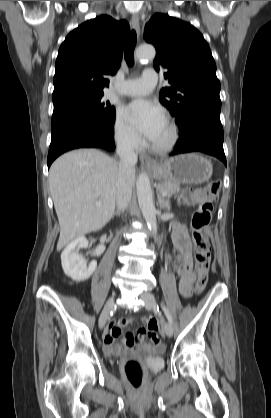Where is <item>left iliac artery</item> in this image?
I'll return each mask as SVG.
<instances>
[{
  "label": "left iliac artery",
  "instance_id": "44dca946",
  "mask_svg": "<svg viewBox=\"0 0 271 418\" xmlns=\"http://www.w3.org/2000/svg\"><path fill=\"white\" fill-rule=\"evenodd\" d=\"M161 308H162V310L164 311V313H165V315H166V317H167V319H168V321H169V323H173V319H172V316H171V314H170V312H169V310L167 309V307L165 306V304L164 303H161Z\"/></svg>",
  "mask_w": 271,
  "mask_h": 418
}]
</instances>
